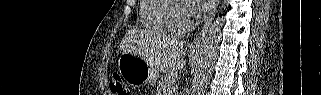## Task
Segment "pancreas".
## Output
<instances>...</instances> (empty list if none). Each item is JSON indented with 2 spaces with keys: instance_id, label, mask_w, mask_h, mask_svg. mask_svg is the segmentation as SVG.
I'll list each match as a JSON object with an SVG mask.
<instances>
[{
  "instance_id": "pancreas-1",
  "label": "pancreas",
  "mask_w": 321,
  "mask_h": 95,
  "mask_svg": "<svg viewBox=\"0 0 321 95\" xmlns=\"http://www.w3.org/2000/svg\"><path fill=\"white\" fill-rule=\"evenodd\" d=\"M176 87V73L168 72L161 77V80L158 83V95H167V92L174 90Z\"/></svg>"
}]
</instances>
